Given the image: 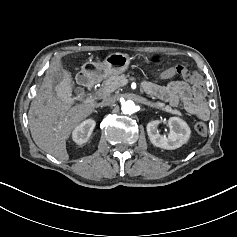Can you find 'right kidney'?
<instances>
[{
    "mask_svg": "<svg viewBox=\"0 0 237 237\" xmlns=\"http://www.w3.org/2000/svg\"><path fill=\"white\" fill-rule=\"evenodd\" d=\"M95 125L96 122L92 119H87L83 121L73 130L72 132L73 141L78 145L86 143L89 137L91 136Z\"/></svg>",
    "mask_w": 237,
    "mask_h": 237,
    "instance_id": "1",
    "label": "right kidney"
}]
</instances>
